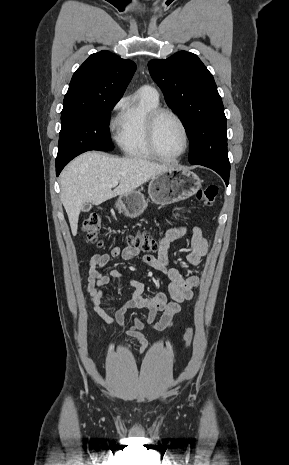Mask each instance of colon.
<instances>
[{
    "label": "colon",
    "instance_id": "obj_1",
    "mask_svg": "<svg viewBox=\"0 0 289 465\" xmlns=\"http://www.w3.org/2000/svg\"><path fill=\"white\" fill-rule=\"evenodd\" d=\"M218 187L216 185H208L197 193V198L203 202L205 206H211L217 197ZM102 226V216L99 213H92L83 223V231L86 239L95 244L101 245L98 233ZM127 242L131 247L137 248L143 252L155 251L158 247V241L146 231H139L128 236ZM193 331L188 328L184 334V343L189 347L192 341Z\"/></svg>",
    "mask_w": 289,
    "mask_h": 465
}]
</instances>
